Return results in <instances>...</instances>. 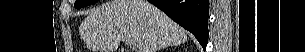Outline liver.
I'll use <instances>...</instances> for the list:
<instances>
[{"label": "liver", "instance_id": "obj_1", "mask_svg": "<svg viewBox=\"0 0 305 52\" xmlns=\"http://www.w3.org/2000/svg\"><path fill=\"white\" fill-rule=\"evenodd\" d=\"M79 33L91 52H115L121 41L136 52H157L188 40L185 30L145 0H111L92 9Z\"/></svg>", "mask_w": 305, "mask_h": 52}]
</instances>
